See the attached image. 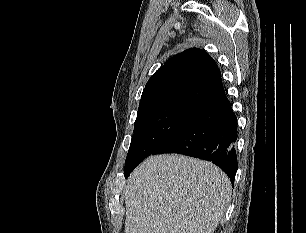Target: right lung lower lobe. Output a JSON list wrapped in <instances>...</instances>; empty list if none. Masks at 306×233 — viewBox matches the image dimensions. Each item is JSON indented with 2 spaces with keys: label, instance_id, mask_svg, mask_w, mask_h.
Listing matches in <instances>:
<instances>
[{
  "label": "right lung lower lobe",
  "instance_id": "1",
  "mask_svg": "<svg viewBox=\"0 0 306 233\" xmlns=\"http://www.w3.org/2000/svg\"><path fill=\"white\" fill-rule=\"evenodd\" d=\"M236 139L237 118L223 96L202 108L152 154L178 153L211 161L233 184L238 167Z\"/></svg>",
  "mask_w": 306,
  "mask_h": 233
}]
</instances>
